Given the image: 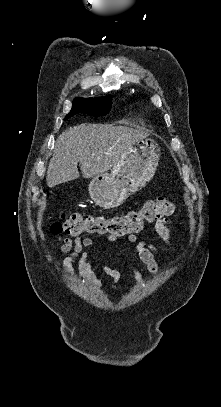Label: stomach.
Segmentation results:
<instances>
[{"instance_id":"obj_1","label":"stomach","mask_w":221,"mask_h":407,"mask_svg":"<svg viewBox=\"0 0 221 407\" xmlns=\"http://www.w3.org/2000/svg\"><path fill=\"white\" fill-rule=\"evenodd\" d=\"M160 155L161 147L154 139L137 141L110 172L93 177L89 184L91 199L104 209L119 206L151 181Z\"/></svg>"}]
</instances>
